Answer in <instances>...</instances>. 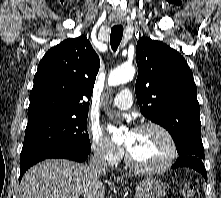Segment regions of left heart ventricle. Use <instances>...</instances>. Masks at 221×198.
<instances>
[{
  "mask_svg": "<svg viewBox=\"0 0 221 198\" xmlns=\"http://www.w3.org/2000/svg\"><path fill=\"white\" fill-rule=\"evenodd\" d=\"M124 144L134 161L143 166L161 163L169 151L166 138L155 129L130 132Z\"/></svg>",
  "mask_w": 221,
  "mask_h": 198,
  "instance_id": "b2bd125f",
  "label": "left heart ventricle"
}]
</instances>
